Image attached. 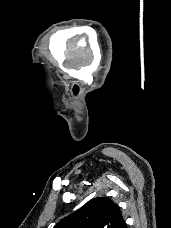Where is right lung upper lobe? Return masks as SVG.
I'll use <instances>...</instances> for the list:
<instances>
[{"label":"right lung upper lobe","instance_id":"cb5924a9","mask_svg":"<svg viewBox=\"0 0 171 228\" xmlns=\"http://www.w3.org/2000/svg\"><path fill=\"white\" fill-rule=\"evenodd\" d=\"M54 228H127L119 207L108 198H94Z\"/></svg>","mask_w":171,"mask_h":228}]
</instances>
